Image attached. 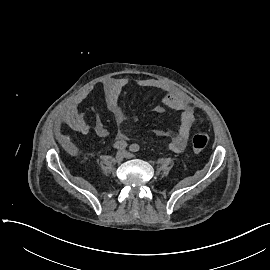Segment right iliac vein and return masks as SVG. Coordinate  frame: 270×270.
I'll list each match as a JSON object with an SVG mask.
<instances>
[{
  "label": "right iliac vein",
  "mask_w": 270,
  "mask_h": 270,
  "mask_svg": "<svg viewBox=\"0 0 270 270\" xmlns=\"http://www.w3.org/2000/svg\"><path fill=\"white\" fill-rule=\"evenodd\" d=\"M125 158V152L124 151H118L116 156H115V161L117 163H120L123 161V159Z\"/></svg>",
  "instance_id": "obj_1"
}]
</instances>
